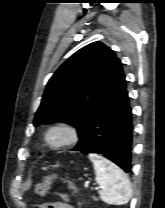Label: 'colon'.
Instances as JSON below:
<instances>
[{"instance_id":"obj_1","label":"colon","mask_w":165,"mask_h":208,"mask_svg":"<svg viewBox=\"0 0 165 208\" xmlns=\"http://www.w3.org/2000/svg\"><path fill=\"white\" fill-rule=\"evenodd\" d=\"M54 179H55V176H47V177H45L44 180L41 183H39V184H37L35 186V189H34L35 193L37 195H39V196H44L47 193V191H48V188H49L50 183ZM67 184L69 185V187L72 190L77 191L76 187L72 183L67 182Z\"/></svg>"}]
</instances>
